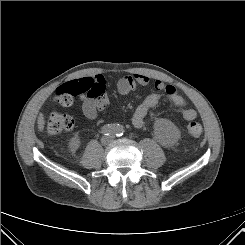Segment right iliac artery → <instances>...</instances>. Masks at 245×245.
<instances>
[{
  "label": "right iliac artery",
  "mask_w": 245,
  "mask_h": 245,
  "mask_svg": "<svg viewBox=\"0 0 245 245\" xmlns=\"http://www.w3.org/2000/svg\"><path fill=\"white\" fill-rule=\"evenodd\" d=\"M101 133L105 136H110L115 133V125L107 124L101 128Z\"/></svg>",
  "instance_id": "1"
}]
</instances>
